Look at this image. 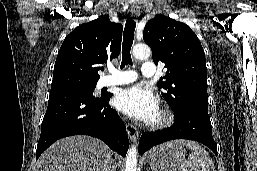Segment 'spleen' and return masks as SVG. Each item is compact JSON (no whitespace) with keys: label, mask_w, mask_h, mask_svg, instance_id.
I'll list each match as a JSON object with an SVG mask.
<instances>
[{"label":"spleen","mask_w":257,"mask_h":171,"mask_svg":"<svg viewBox=\"0 0 257 171\" xmlns=\"http://www.w3.org/2000/svg\"><path fill=\"white\" fill-rule=\"evenodd\" d=\"M169 146H185L191 150V154L178 171H215L214 163L208 152L198 143L189 140H174L167 143Z\"/></svg>","instance_id":"1"}]
</instances>
